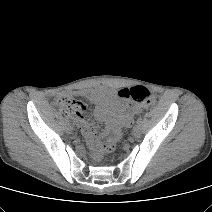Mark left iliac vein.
I'll list each match as a JSON object with an SVG mask.
<instances>
[{"mask_svg": "<svg viewBox=\"0 0 212 212\" xmlns=\"http://www.w3.org/2000/svg\"><path fill=\"white\" fill-rule=\"evenodd\" d=\"M132 134L135 136V137H138L140 134H141V127L140 125H135L132 129Z\"/></svg>", "mask_w": 212, "mask_h": 212, "instance_id": "left-iliac-vein-1", "label": "left iliac vein"}]
</instances>
